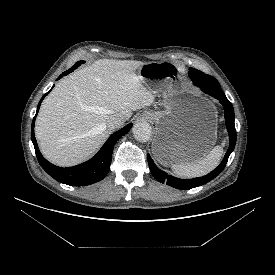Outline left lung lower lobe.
Wrapping results in <instances>:
<instances>
[{"mask_svg":"<svg viewBox=\"0 0 275 275\" xmlns=\"http://www.w3.org/2000/svg\"><path fill=\"white\" fill-rule=\"evenodd\" d=\"M189 75L191 77V80L196 86L200 87L201 90L204 91L205 93L218 99L220 103L223 105V108L225 111L226 128L229 134V149L226 152L224 159L216 169H214L211 173L203 177L193 178V179H178L171 175H168L164 171L160 170L154 164L150 155H148L149 168L152 175L155 177V179L163 184L166 183L169 186H172L174 188L181 189V190H188V189L201 186L211 181L216 176H218L225 168L228 158L232 153V151L234 150V147L236 144L234 109L230 101L225 96L224 92L221 89H218L215 87V84H214L215 78L210 75L204 74L199 70H195L193 68H189Z\"/></svg>","mask_w":275,"mask_h":275,"instance_id":"0a47b994","label":"left lung lower lobe"}]
</instances>
